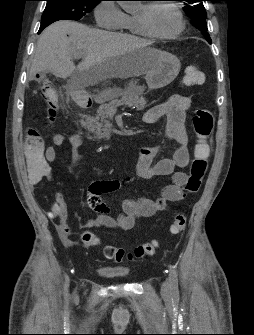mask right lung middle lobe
Instances as JSON below:
<instances>
[{
	"instance_id": "1",
	"label": "right lung middle lobe",
	"mask_w": 254,
	"mask_h": 335,
	"mask_svg": "<svg viewBox=\"0 0 254 335\" xmlns=\"http://www.w3.org/2000/svg\"><path fill=\"white\" fill-rule=\"evenodd\" d=\"M41 24L58 20H79L101 0H46Z\"/></svg>"
}]
</instances>
